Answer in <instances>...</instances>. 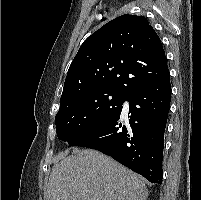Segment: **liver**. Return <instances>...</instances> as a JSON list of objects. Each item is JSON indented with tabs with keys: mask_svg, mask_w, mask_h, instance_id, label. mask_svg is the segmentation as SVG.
I'll use <instances>...</instances> for the list:
<instances>
[{
	"mask_svg": "<svg viewBox=\"0 0 201 200\" xmlns=\"http://www.w3.org/2000/svg\"><path fill=\"white\" fill-rule=\"evenodd\" d=\"M148 190L132 171L90 149H74L52 168L45 200H146Z\"/></svg>",
	"mask_w": 201,
	"mask_h": 200,
	"instance_id": "liver-1",
	"label": "liver"
}]
</instances>
